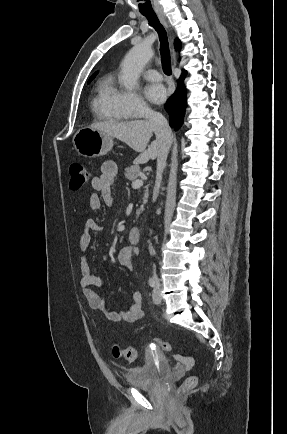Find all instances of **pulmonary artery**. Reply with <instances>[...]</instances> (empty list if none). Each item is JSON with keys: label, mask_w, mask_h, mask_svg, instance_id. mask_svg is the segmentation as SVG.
<instances>
[{"label": "pulmonary artery", "mask_w": 287, "mask_h": 434, "mask_svg": "<svg viewBox=\"0 0 287 434\" xmlns=\"http://www.w3.org/2000/svg\"><path fill=\"white\" fill-rule=\"evenodd\" d=\"M144 77L151 81H160L162 75L155 69H148L144 72Z\"/></svg>", "instance_id": "e3ab8cb5"}]
</instances>
